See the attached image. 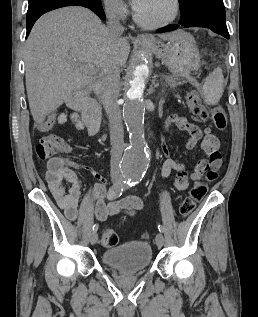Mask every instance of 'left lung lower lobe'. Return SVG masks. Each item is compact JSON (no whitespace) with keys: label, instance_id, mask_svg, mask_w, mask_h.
Returning a JSON list of instances; mask_svg holds the SVG:
<instances>
[{"label":"left lung lower lobe","instance_id":"1","mask_svg":"<svg viewBox=\"0 0 258 317\" xmlns=\"http://www.w3.org/2000/svg\"><path fill=\"white\" fill-rule=\"evenodd\" d=\"M180 25L184 27H204L209 28L213 32L218 33L229 39V33L226 26L225 7L220 2L207 1L201 3L195 14L187 21H180ZM179 25H169L158 30L159 33L173 31Z\"/></svg>","mask_w":258,"mask_h":317}]
</instances>
